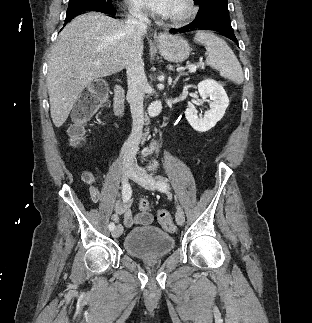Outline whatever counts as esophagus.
I'll list each match as a JSON object with an SVG mask.
<instances>
[{"label": "esophagus", "instance_id": "1", "mask_svg": "<svg viewBox=\"0 0 312 323\" xmlns=\"http://www.w3.org/2000/svg\"><path fill=\"white\" fill-rule=\"evenodd\" d=\"M166 38V35L164 33H160L157 37H156V41L160 42L162 40H164Z\"/></svg>", "mask_w": 312, "mask_h": 323}]
</instances>
